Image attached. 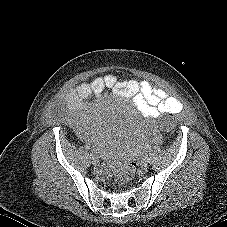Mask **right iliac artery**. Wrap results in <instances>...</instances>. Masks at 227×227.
<instances>
[{
	"mask_svg": "<svg viewBox=\"0 0 227 227\" xmlns=\"http://www.w3.org/2000/svg\"><path fill=\"white\" fill-rule=\"evenodd\" d=\"M85 148H86V150H89L90 149V146L86 145Z\"/></svg>",
	"mask_w": 227,
	"mask_h": 227,
	"instance_id": "82829eb1",
	"label": "right iliac artery"
}]
</instances>
